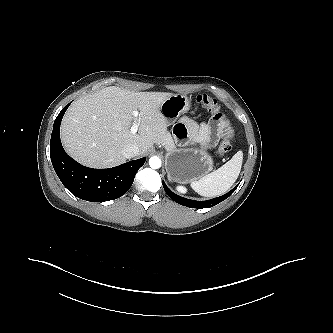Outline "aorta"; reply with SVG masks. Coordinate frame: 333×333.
I'll use <instances>...</instances> for the list:
<instances>
[{
	"label": "aorta",
	"instance_id": "aorta-1",
	"mask_svg": "<svg viewBox=\"0 0 333 333\" xmlns=\"http://www.w3.org/2000/svg\"><path fill=\"white\" fill-rule=\"evenodd\" d=\"M149 166L153 169H159L161 167V159L157 156H153L149 159Z\"/></svg>",
	"mask_w": 333,
	"mask_h": 333
}]
</instances>
